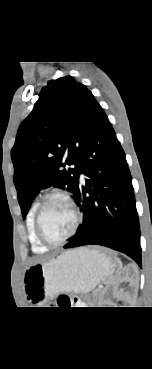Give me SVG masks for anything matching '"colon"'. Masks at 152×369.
Returning a JSON list of instances; mask_svg holds the SVG:
<instances>
[{
	"label": "colon",
	"mask_w": 152,
	"mask_h": 369,
	"mask_svg": "<svg viewBox=\"0 0 152 369\" xmlns=\"http://www.w3.org/2000/svg\"><path fill=\"white\" fill-rule=\"evenodd\" d=\"M74 304L72 298L68 295H60L53 305L58 307H71Z\"/></svg>",
	"instance_id": "obj_1"
}]
</instances>
